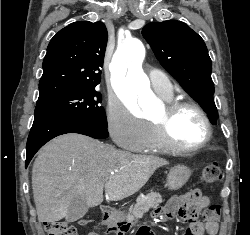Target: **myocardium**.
<instances>
[{
  "instance_id": "1",
  "label": "myocardium",
  "mask_w": 250,
  "mask_h": 235,
  "mask_svg": "<svg viewBox=\"0 0 250 235\" xmlns=\"http://www.w3.org/2000/svg\"><path fill=\"white\" fill-rule=\"evenodd\" d=\"M190 108L196 111L202 118L205 126L204 138L194 146H182L177 144L171 136V123L175 115L183 109ZM152 125L156 128L159 140L170 151L178 153L197 152L204 148L210 141L212 136V128L210 119L201 105L191 100H174L167 102L164 106V114L161 119L152 121Z\"/></svg>"
}]
</instances>
